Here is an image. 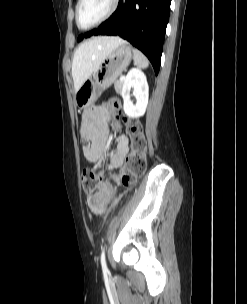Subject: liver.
<instances>
[{"label":"liver","mask_w":247,"mask_h":304,"mask_svg":"<svg viewBox=\"0 0 247 304\" xmlns=\"http://www.w3.org/2000/svg\"><path fill=\"white\" fill-rule=\"evenodd\" d=\"M126 42L119 37H93L81 43L74 52L72 77L75 91L98 69L104 59Z\"/></svg>","instance_id":"obj_1"}]
</instances>
